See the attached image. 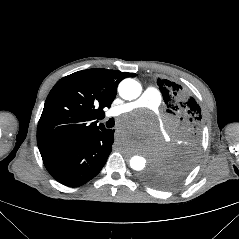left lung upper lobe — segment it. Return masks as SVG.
<instances>
[{
  "label": "left lung upper lobe",
  "mask_w": 239,
  "mask_h": 239,
  "mask_svg": "<svg viewBox=\"0 0 239 239\" xmlns=\"http://www.w3.org/2000/svg\"><path fill=\"white\" fill-rule=\"evenodd\" d=\"M167 105L170 141L165 154L144 175L156 188H169L180 182L193 167L201 143V109L179 84L157 79Z\"/></svg>",
  "instance_id": "5c2ea615"
}]
</instances>
